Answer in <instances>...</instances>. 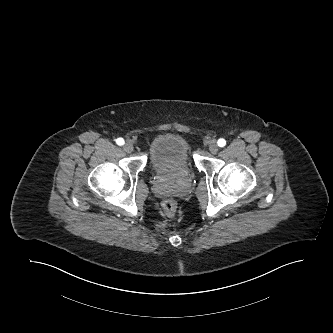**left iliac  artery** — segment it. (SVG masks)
<instances>
[{
  "mask_svg": "<svg viewBox=\"0 0 333 333\" xmlns=\"http://www.w3.org/2000/svg\"><path fill=\"white\" fill-rule=\"evenodd\" d=\"M217 143H218V146H220V147H224L226 145V141L223 138L219 139Z\"/></svg>",
  "mask_w": 333,
  "mask_h": 333,
  "instance_id": "1",
  "label": "left iliac artery"
}]
</instances>
